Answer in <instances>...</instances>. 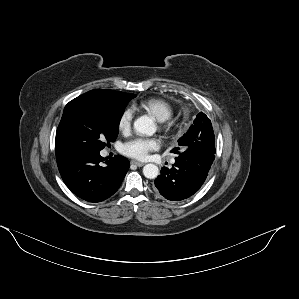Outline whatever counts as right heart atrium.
Segmentation results:
<instances>
[{"label": "right heart atrium", "mask_w": 299, "mask_h": 299, "mask_svg": "<svg viewBox=\"0 0 299 299\" xmlns=\"http://www.w3.org/2000/svg\"><path fill=\"white\" fill-rule=\"evenodd\" d=\"M133 121V110L131 108H125L119 115L117 121V129L121 133H127L131 129Z\"/></svg>", "instance_id": "obj_1"}]
</instances>
